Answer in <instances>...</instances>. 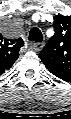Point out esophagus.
<instances>
[{
	"mask_svg": "<svg viewBox=\"0 0 71 119\" xmlns=\"http://www.w3.org/2000/svg\"><path fill=\"white\" fill-rule=\"evenodd\" d=\"M44 47V43L42 42H35L31 44V49L34 51H40Z\"/></svg>",
	"mask_w": 71,
	"mask_h": 119,
	"instance_id": "esophagus-1",
	"label": "esophagus"
}]
</instances>
